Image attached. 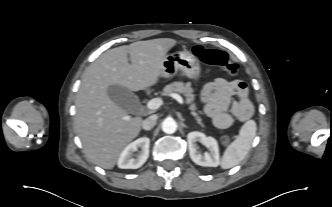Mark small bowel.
I'll return each mask as SVG.
<instances>
[{
  "mask_svg": "<svg viewBox=\"0 0 332 207\" xmlns=\"http://www.w3.org/2000/svg\"><path fill=\"white\" fill-rule=\"evenodd\" d=\"M200 100L205 114L219 129H226L235 121H247L254 111L248 87L243 81L216 78L204 87Z\"/></svg>",
  "mask_w": 332,
  "mask_h": 207,
  "instance_id": "1",
  "label": "small bowel"
}]
</instances>
